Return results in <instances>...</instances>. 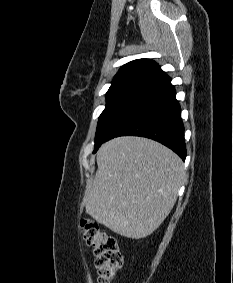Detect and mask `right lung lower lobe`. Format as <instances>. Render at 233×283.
I'll use <instances>...</instances> for the list:
<instances>
[{
  "label": "right lung lower lobe",
  "mask_w": 233,
  "mask_h": 283,
  "mask_svg": "<svg viewBox=\"0 0 233 283\" xmlns=\"http://www.w3.org/2000/svg\"><path fill=\"white\" fill-rule=\"evenodd\" d=\"M175 95L168 75L155 79L113 126L104 142L124 135L147 137L169 147L185 160L184 126Z\"/></svg>",
  "instance_id": "right-lung-lower-lobe-1"
}]
</instances>
